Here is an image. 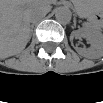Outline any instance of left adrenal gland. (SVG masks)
I'll return each instance as SVG.
<instances>
[{"mask_svg": "<svg viewBox=\"0 0 103 103\" xmlns=\"http://www.w3.org/2000/svg\"><path fill=\"white\" fill-rule=\"evenodd\" d=\"M74 28H76V20H74Z\"/></svg>", "mask_w": 103, "mask_h": 103, "instance_id": "a2214340", "label": "left adrenal gland"}]
</instances>
